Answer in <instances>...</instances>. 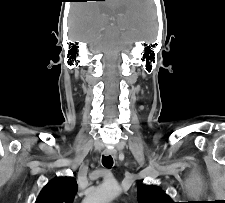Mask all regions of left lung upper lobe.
Returning <instances> with one entry per match:
<instances>
[{
    "label": "left lung upper lobe",
    "mask_w": 225,
    "mask_h": 203,
    "mask_svg": "<svg viewBox=\"0 0 225 203\" xmlns=\"http://www.w3.org/2000/svg\"><path fill=\"white\" fill-rule=\"evenodd\" d=\"M139 203H174L169 196H167L157 186L141 185L137 193Z\"/></svg>",
    "instance_id": "obj_1"
}]
</instances>
